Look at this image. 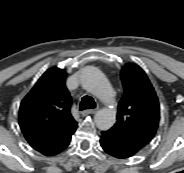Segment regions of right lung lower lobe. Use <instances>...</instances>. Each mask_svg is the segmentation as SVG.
<instances>
[{
  "label": "right lung lower lobe",
  "instance_id": "obj_1",
  "mask_svg": "<svg viewBox=\"0 0 184 173\" xmlns=\"http://www.w3.org/2000/svg\"><path fill=\"white\" fill-rule=\"evenodd\" d=\"M70 140H71V137L58 150H56L55 152L47 156H54L61 153L69 145Z\"/></svg>",
  "mask_w": 184,
  "mask_h": 173
}]
</instances>
